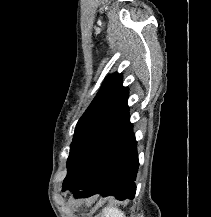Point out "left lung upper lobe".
<instances>
[{
	"label": "left lung upper lobe",
	"mask_w": 211,
	"mask_h": 217,
	"mask_svg": "<svg viewBox=\"0 0 211 217\" xmlns=\"http://www.w3.org/2000/svg\"><path fill=\"white\" fill-rule=\"evenodd\" d=\"M127 99L128 88L122 86V75L107 77L76 125L63 186L74 180L98 150L130 122Z\"/></svg>",
	"instance_id": "5c2ea615"
}]
</instances>
